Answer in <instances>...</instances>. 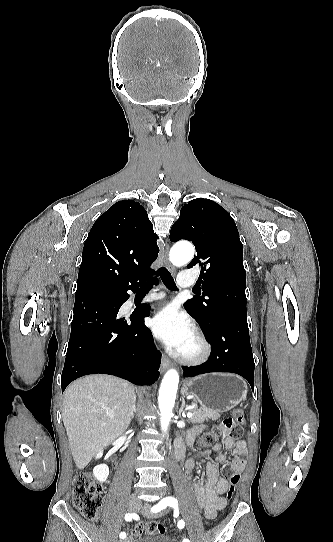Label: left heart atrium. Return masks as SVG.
Instances as JSON below:
<instances>
[{
  "instance_id": "left-heart-atrium-1",
  "label": "left heart atrium",
  "mask_w": 333,
  "mask_h": 542,
  "mask_svg": "<svg viewBox=\"0 0 333 542\" xmlns=\"http://www.w3.org/2000/svg\"><path fill=\"white\" fill-rule=\"evenodd\" d=\"M151 327L174 354H179L195 333L192 320L175 305H168L160 310L152 319Z\"/></svg>"
}]
</instances>
